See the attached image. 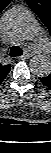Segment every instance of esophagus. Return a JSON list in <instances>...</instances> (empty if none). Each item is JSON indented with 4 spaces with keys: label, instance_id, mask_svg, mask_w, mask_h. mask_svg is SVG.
<instances>
[{
    "label": "esophagus",
    "instance_id": "34e87169",
    "mask_svg": "<svg viewBox=\"0 0 51 153\" xmlns=\"http://www.w3.org/2000/svg\"><path fill=\"white\" fill-rule=\"evenodd\" d=\"M28 58H30V54H24V55L19 57V59H21V60H26Z\"/></svg>",
    "mask_w": 51,
    "mask_h": 153
}]
</instances>
